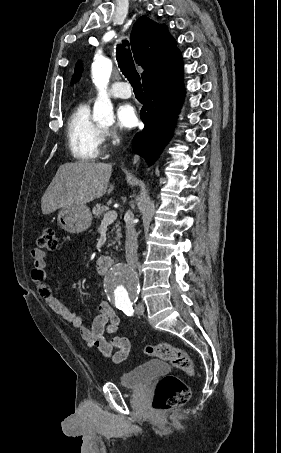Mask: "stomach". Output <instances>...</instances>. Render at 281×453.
<instances>
[{
	"instance_id": "stomach-1",
	"label": "stomach",
	"mask_w": 281,
	"mask_h": 453,
	"mask_svg": "<svg viewBox=\"0 0 281 453\" xmlns=\"http://www.w3.org/2000/svg\"><path fill=\"white\" fill-rule=\"evenodd\" d=\"M92 214L86 204L62 206L58 212V224L67 233H83L91 227Z\"/></svg>"
}]
</instances>
